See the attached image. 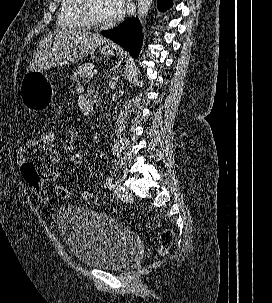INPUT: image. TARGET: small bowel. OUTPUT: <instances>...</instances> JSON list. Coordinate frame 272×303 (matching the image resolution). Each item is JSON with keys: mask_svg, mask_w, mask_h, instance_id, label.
Segmentation results:
<instances>
[{"mask_svg": "<svg viewBox=\"0 0 272 303\" xmlns=\"http://www.w3.org/2000/svg\"><path fill=\"white\" fill-rule=\"evenodd\" d=\"M32 151H41L43 153H46L49 157V160L52 163H59L62 158V154L57 148H45L38 142L37 138H31V139H28L22 145V147L19 149L17 156H16L17 163L20 166L27 163L26 155ZM45 176H46L48 182H52L58 178L59 173H58V171H51ZM49 201H50L49 195L41 196L42 203L45 204V203H48Z\"/></svg>", "mask_w": 272, "mask_h": 303, "instance_id": "1", "label": "small bowel"}]
</instances>
